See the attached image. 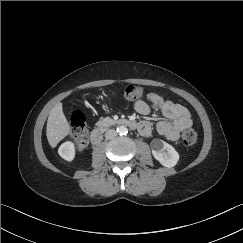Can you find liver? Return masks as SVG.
I'll list each match as a JSON object with an SVG mask.
<instances>
[{
    "instance_id": "obj_1",
    "label": "liver",
    "mask_w": 243,
    "mask_h": 243,
    "mask_svg": "<svg viewBox=\"0 0 243 243\" xmlns=\"http://www.w3.org/2000/svg\"><path fill=\"white\" fill-rule=\"evenodd\" d=\"M70 132V125L63 113L62 103H57L50 111L47 120L46 136L52 148L64 139Z\"/></svg>"
}]
</instances>
